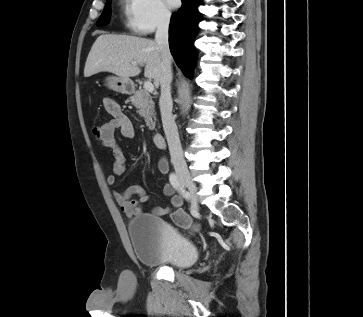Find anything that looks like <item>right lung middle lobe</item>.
Segmentation results:
<instances>
[{
    "label": "right lung middle lobe",
    "mask_w": 363,
    "mask_h": 317,
    "mask_svg": "<svg viewBox=\"0 0 363 317\" xmlns=\"http://www.w3.org/2000/svg\"><path fill=\"white\" fill-rule=\"evenodd\" d=\"M110 3L111 0H107V3L105 5V8L101 14V16L99 17L97 24L98 25H104L109 21V17H110Z\"/></svg>",
    "instance_id": "dd1d6c3e"
}]
</instances>
